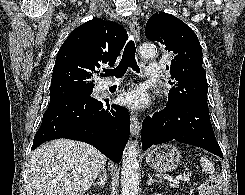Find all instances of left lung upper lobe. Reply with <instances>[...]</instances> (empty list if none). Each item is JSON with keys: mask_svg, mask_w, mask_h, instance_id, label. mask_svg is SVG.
<instances>
[{"mask_svg": "<svg viewBox=\"0 0 245 195\" xmlns=\"http://www.w3.org/2000/svg\"><path fill=\"white\" fill-rule=\"evenodd\" d=\"M147 39L159 42L174 53L170 70L173 88L168 103L178 105L196 102L208 106L206 71L202 68L203 53L194 31L177 17L159 12L153 14L145 28Z\"/></svg>", "mask_w": 245, "mask_h": 195, "instance_id": "obj_1", "label": "left lung upper lobe"}]
</instances>
